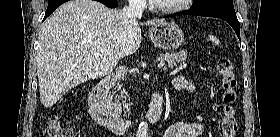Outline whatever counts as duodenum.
Returning a JSON list of instances; mask_svg holds the SVG:
<instances>
[{"label": "duodenum", "instance_id": "410a0bca", "mask_svg": "<svg viewBox=\"0 0 280 137\" xmlns=\"http://www.w3.org/2000/svg\"><path fill=\"white\" fill-rule=\"evenodd\" d=\"M114 84L115 78L113 76L103 77L89 96L88 109L96 122L117 134H125L134 129L137 122L134 120L121 119L106 109L104 101ZM162 114L163 97L159 92H155L149 110L143 120L148 124H156Z\"/></svg>", "mask_w": 280, "mask_h": 137}]
</instances>
